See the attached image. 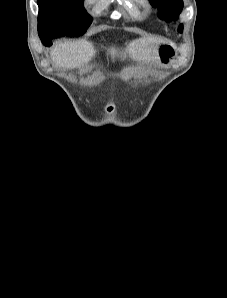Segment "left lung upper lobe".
Segmentation results:
<instances>
[{
	"label": "left lung upper lobe",
	"mask_w": 227,
	"mask_h": 298,
	"mask_svg": "<svg viewBox=\"0 0 227 298\" xmlns=\"http://www.w3.org/2000/svg\"><path fill=\"white\" fill-rule=\"evenodd\" d=\"M153 6H157L161 12L160 17L168 22H174L178 19L183 9L182 0H149ZM178 31L182 33L183 25H179Z\"/></svg>",
	"instance_id": "1"
}]
</instances>
